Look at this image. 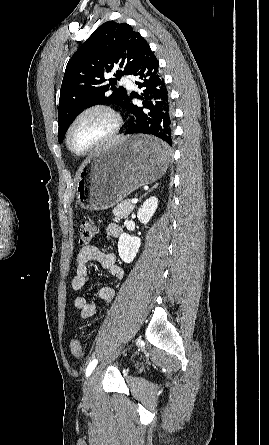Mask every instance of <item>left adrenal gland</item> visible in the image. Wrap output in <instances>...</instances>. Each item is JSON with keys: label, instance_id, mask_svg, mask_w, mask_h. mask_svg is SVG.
Segmentation results:
<instances>
[{"label": "left adrenal gland", "instance_id": "obj_1", "mask_svg": "<svg viewBox=\"0 0 269 445\" xmlns=\"http://www.w3.org/2000/svg\"><path fill=\"white\" fill-rule=\"evenodd\" d=\"M157 187H158V184H155V185H154L152 188H150V189H149L143 196H146L147 193L151 192L154 188H157ZM143 196H142V197H143ZM142 197H141V198H142Z\"/></svg>", "mask_w": 269, "mask_h": 445}]
</instances>
